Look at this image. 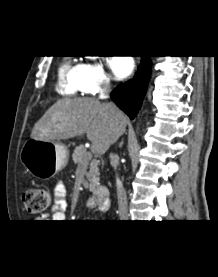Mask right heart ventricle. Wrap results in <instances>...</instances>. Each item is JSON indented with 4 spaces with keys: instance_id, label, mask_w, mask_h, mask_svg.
Here are the masks:
<instances>
[{
    "instance_id": "e07e8e85",
    "label": "right heart ventricle",
    "mask_w": 218,
    "mask_h": 277,
    "mask_svg": "<svg viewBox=\"0 0 218 277\" xmlns=\"http://www.w3.org/2000/svg\"><path fill=\"white\" fill-rule=\"evenodd\" d=\"M81 65L65 60L58 70L57 92L63 96H75L82 92L80 86Z\"/></svg>"
}]
</instances>
